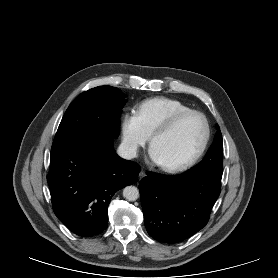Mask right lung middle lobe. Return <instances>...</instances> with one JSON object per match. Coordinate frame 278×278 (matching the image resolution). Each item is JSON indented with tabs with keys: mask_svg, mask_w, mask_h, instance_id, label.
I'll use <instances>...</instances> for the list:
<instances>
[{
	"mask_svg": "<svg viewBox=\"0 0 278 278\" xmlns=\"http://www.w3.org/2000/svg\"><path fill=\"white\" fill-rule=\"evenodd\" d=\"M125 97L118 88L111 86H99L81 93L62 118L52 149L90 138H117Z\"/></svg>",
	"mask_w": 278,
	"mask_h": 278,
	"instance_id": "dd1d6c3e",
	"label": "right lung middle lobe"
}]
</instances>
